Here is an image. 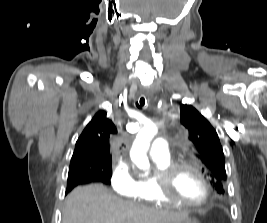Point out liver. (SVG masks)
<instances>
[{"label":"liver","instance_id":"obj_1","mask_svg":"<svg viewBox=\"0 0 267 223\" xmlns=\"http://www.w3.org/2000/svg\"><path fill=\"white\" fill-rule=\"evenodd\" d=\"M187 217V212L159 210L123 200L102 184H91L67 196L62 223H172Z\"/></svg>","mask_w":267,"mask_h":223}]
</instances>
